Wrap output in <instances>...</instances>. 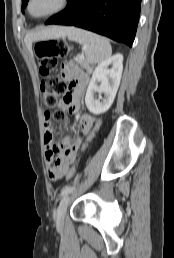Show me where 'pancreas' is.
Listing matches in <instances>:
<instances>
[{
    "mask_svg": "<svg viewBox=\"0 0 174 258\" xmlns=\"http://www.w3.org/2000/svg\"><path fill=\"white\" fill-rule=\"evenodd\" d=\"M75 61H77L83 69H85L88 73H92L93 66H90L84 59H80L79 57L75 58Z\"/></svg>",
    "mask_w": 174,
    "mask_h": 258,
    "instance_id": "1",
    "label": "pancreas"
}]
</instances>
